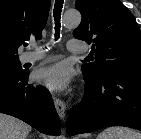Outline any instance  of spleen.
<instances>
[{
	"label": "spleen",
	"mask_w": 141,
	"mask_h": 139,
	"mask_svg": "<svg viewBox=\"0 0 141 139\" xmlns=\"http://www.w3.org/2000/svg\"><path fill=\"white\" fill-rule=\"evenodd\" d=\"M97 139H141V134L126 127H109Z\"/></svg>",
	"instance_id": "spleen-1"
}]
</instances>
